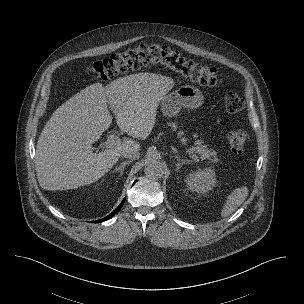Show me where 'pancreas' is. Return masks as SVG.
<instances>
[{"instance_id": "1", "label": "pancreas", "mask_w": 304, "mask_h": 304, "mask_svg": "<svg viewBox=\"0 0 304 304\" xmlns=\"http://www.w3.org/2000/svg\"><path fill=\"white\" fill-rule=\"evenodd\" d=\"M168 126H171L173 130L177 129V124L175 122L168 123ZM183 131H179L178 136H183ZM187 139L185 137L181 138V143L186 144ZM202 140L197 141V147H195V151L200 154L203 159H208L211 162L218 163L219 159L217 158V153L214 150L208 149L206 145H203Z\"/></svg>"}]
</instances>
